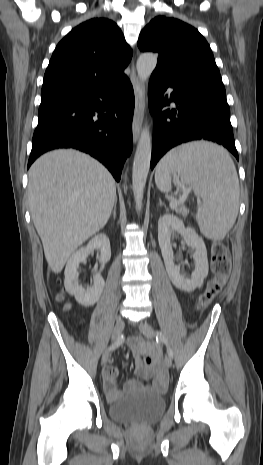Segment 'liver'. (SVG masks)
Masks as SVG:
<instances>
[{"instance_id": "1", "label": "liver", "mask_w": 263, "mask_h": 465, "mask_svg": "<svg viewBox=\"0 0 263 465\" xmlns=\"http://www.w3.org/2000/svg\"><path fill=\"white\" fill-rule=\"evenodd\" d=\"M28 201L51 270L107 223L116 202L115 180L89 155L73 149L48 152L29 169Z\"/></svg>"}]
</instances>
